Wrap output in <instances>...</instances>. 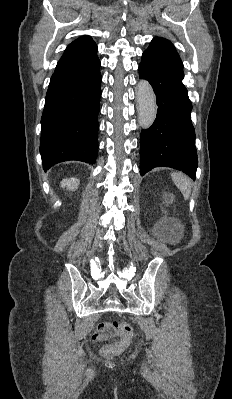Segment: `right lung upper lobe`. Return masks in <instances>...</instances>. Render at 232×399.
I'll list each match as a JSON object with an SVG mask.
<instances>
[{
    "instance_id": "1",
    "label": "right lung upper lobe",
    "mask_w": 232,
    "mask_h": 399,
    "mask_svg": "<svg viewBox=\"0 0 232 399\" xmlns=\"http://www.w3.org/2000/svg\"><path fill=\"white\" fill-rule=\"evenodd\" d=\"M97 52V45L89 36H82L68 45L63 55Z\"/></svg>"
}]
</instances>
